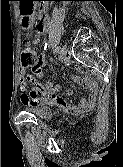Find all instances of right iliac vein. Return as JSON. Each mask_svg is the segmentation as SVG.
<instances>
[{
	"instance_id": "1",
	"label": "right iliac vein",
	"mask_w": 123,
	"mask_h": 167,
	"mask_svg": "<svg viewBox=\"0 0 123 167\" xmlns=\"http://www.w3.org/2000/svg\"><path fill=\"white\" fill-rule=\"evenodd\" d=\"M66 51H67V47L66 46H63L60 50V60L62 61L65 57V54H66Z\"/></svg>"
}]
</instances>
